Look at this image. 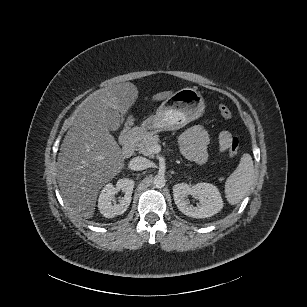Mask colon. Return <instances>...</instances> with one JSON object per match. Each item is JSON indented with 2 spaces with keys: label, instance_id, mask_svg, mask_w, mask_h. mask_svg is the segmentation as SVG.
<instances>
[{
  "label": "colon",
  "instance_id": "5ec220e1",
  "mask_svg": "<svg viewBox=\"0 0 307 307\" xmlns=\"http://www.w3.org/2000/svg\"><path fill=\"white\" fill-rule=\"evenodd\" d=\"M219 112L221 114V116L224 118V119H231L232 118V112L231 110L225 106V105H220L219 106ZM238 149H239V142H238V139L237 138H233L231 140V143H230V147H229V151H228V155L230 157H234L237 155L238 153Z\"/></svg>",
  "mask_w": 307,
  "mask_h": 307
}]
</instances>
